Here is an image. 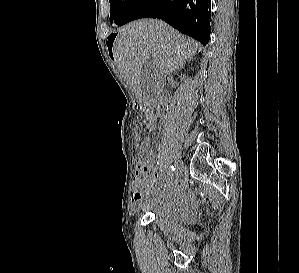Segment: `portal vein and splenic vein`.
<instances>
[{
  "label": "portal vein and splenic vein",
  "mask_w": 299,
  "mask_h": 273,
  "mask_svg": "<svg viewBox=\"0 0 299 273\" xmlns=\"http://www.w3.org/2000/svg\"><path fill=\"white\" fill-rule=\"evenodd\" d=\"M152 55H153L154 57H156V56H157V53H153Z\"/></svg>",
  "instance_id": "obj_1"
}]
</instances>
